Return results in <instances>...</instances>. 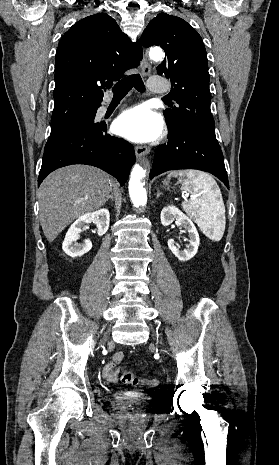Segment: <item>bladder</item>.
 Here are the masks:
<instances>
[{
    "label": "bladder",
    "mask_w": 279,
    "mask_h": 465,
    "mask_svg": "<svg viewBox=\"0 0 279 465\" xmlns=\"http://www.w3.org/2000/svg\"><path fill=\"white\" fill-rule=\"evenodd\" d=\"M119 401L124 408L147 403L149 398L142 394L123 393L119 396Z\"/></svg>",
    "instance_id": "31cf9c89"
}]
</instances>
